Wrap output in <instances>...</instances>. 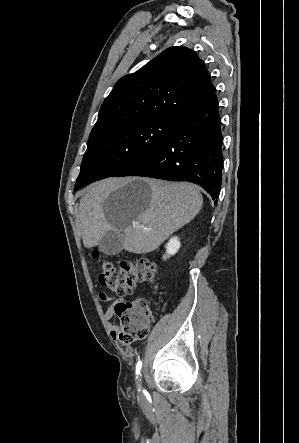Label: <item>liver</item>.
<instances>
[{
	"label": "liver",
	"instance_id": "1",
	"mask_svg": "<svg viewBox=\"0 0 299 443\" xmlns=\"http://www.w3.org/2000/svg\"><path fill=\"white\" fill-rule=\"evenodd\" d=\"M203 198L189 183L151 178H107L89 185L79 204L86 248L108 232H123V249L146 254L188 224L201 210ZM133 222H139L138 228Z\"/></svg>",
	"mask_w": 299,
	"mask_h": 443
}]
</instances>
